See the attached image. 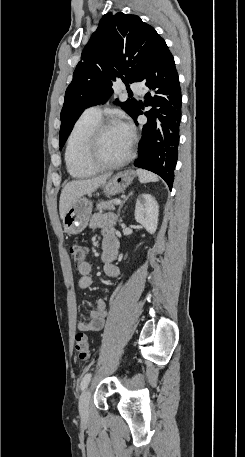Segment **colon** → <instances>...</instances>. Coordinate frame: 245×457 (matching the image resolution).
<instances>
[{"instance_id":"colon-1","label":"colon","mask_w":245,"mask_h":457,"mask_svg":"<svg viewBox=\"0 0 245 457\" xmlns=\"http://www.w3.org/2000/svg\"><path fill=\"white\" fill-rule=\"evenodd\" d=\"M70 257L77 266L85 262L87 249L84 246L73 244L68 249ZM75 351L82 360L88 359L90 355L89 339L84 332H78L75 336Z\"/></svg>"}]
</instances>
